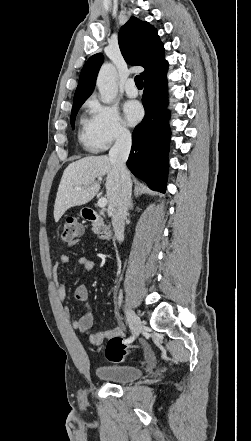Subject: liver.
I'll return each mask as SVG.
<instances>
[{
    "instance_id": "obj_1",
    "label": "liver",
    "mask_w": 251,
    "mask_h": 441,
    "mask_svg": "<svg viewBox=\"0 0 251 441\" xmlns=\"http://www.w3.org/2000/svg\"><path fill=\"white\" fill-rule=\"evenodd\" d=\"M105 175L107 212L111 215L120 190L119 172L108 156H89L70 163L64 170L54 205L55 222H58L69 208L91 201L100 190L102 177Z\"/></svg>"
}]
</instances>
